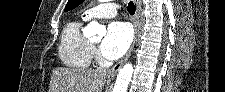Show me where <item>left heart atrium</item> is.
<instances>
[{
	"label": "left heart atrium",
	"instance_id": "1",
	"mask_svg": "<svg viewBox=\"0 0 225 92\" xmlns=\"http://www.w3.org/2000/svg\"><path fill=\"white\" fill-rule=\"evenodd\" d=\"M132 40V29L128 23L112 22L107 28L106 36L101 44L102 55L114 60L121 57Z\"/></svg>",
	"mask_w": 225,
	"mask_h": 92
}]
</instances>
